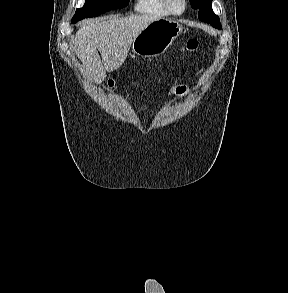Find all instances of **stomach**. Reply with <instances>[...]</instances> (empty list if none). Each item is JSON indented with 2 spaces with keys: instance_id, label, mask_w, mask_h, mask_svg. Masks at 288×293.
<instances>
[{
  "instance_id": "0dacf381",
  "label": "stomach",
  "mask_w": 288,
  "mask_h": 293,
  "mask_svg": "<svg viewBox=\"0 0 288 293\" xmlns=\"http://www.w3.org/2000/svg\"><path fill=\"white\" fill-rule=\"evenodd\" d=\"M182 25L168 18H159L146 26L133 40L134 55L150 58L164 53L181 34Z\"/></svg>"
}]
</instances>
